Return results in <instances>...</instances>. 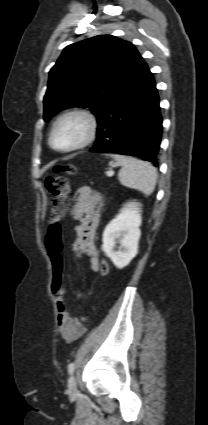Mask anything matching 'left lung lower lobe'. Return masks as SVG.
Masks as SVG:
<instances>
[{
    "label": "left lung lower lobe",
    "instance_id": "0a47b994",
    "mask_svg": "<svg viewBox=\"0 0 208 425\" xmlns=\"http://www.w3.org/2000/svg\"><path fill=\"white\" fill-rule=\"evenodd\" d=\"M97 120V140L91 151L138 156L158 166L162 117L156 83L145 62Z\"/></svg>",
    "mask_w": 208,
    "mask_h": 425
}]
</instances>
